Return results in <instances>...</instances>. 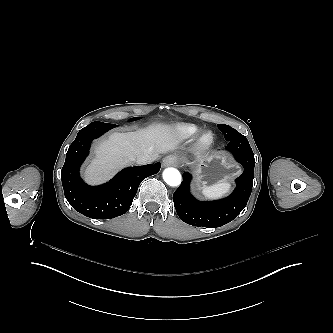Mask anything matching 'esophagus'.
<instances>
[{"mask_svg":"<svg viewBox=\"0 0 333 333\" xmlns=\"http://www.w3.org/2000/svg\"><path fill=\"white\" fill-rule=\"evenodd\" d=\"M178 163H179V158L176 154L167 155L163 159L164 166L178 165Z\"/></svg>","mask_w":333,"mask_h":333,"instance_id":"1","label":"esophagus"}]
</instances>
